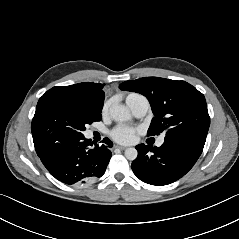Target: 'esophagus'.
<instances>
[{
	"label": "esophagus",
	"instance_id": "34e87169",
	"mask_svg": "<svg viewBox=\"0 0 239 239\" xmlns=\"http://www.w3.org/2000/svg\"><path fill=\"white\" fill-rule=\"evenodd\" d=\"M115 148H118V149H120V150H125V149H126L125 146H120V145H116Z\"/></svg>",
	"mask_w": 239,
	"mask_h": 239
}]
</instances>
